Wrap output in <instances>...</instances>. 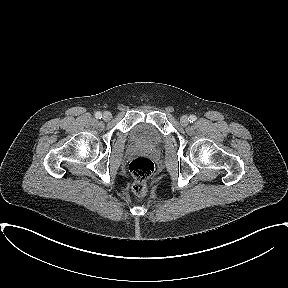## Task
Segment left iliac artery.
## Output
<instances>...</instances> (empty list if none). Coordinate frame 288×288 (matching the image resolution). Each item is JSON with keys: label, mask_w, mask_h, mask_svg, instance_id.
<instances>
[{"label": "left iliac artery", "mask_w": 288, "mask_h": 288, "mask_svg": "<svg viewBox=\"0 0 288 288\" xmlns=\"http://www.w3.org/2000/svg\"><path fill=\"white\" fill-rule=\"evenodd\" d=\"M190 122H194L196 121V116L195 115H190V117L188 118Z\"/></svg>", "instance_id": "1"}]
</instances>
